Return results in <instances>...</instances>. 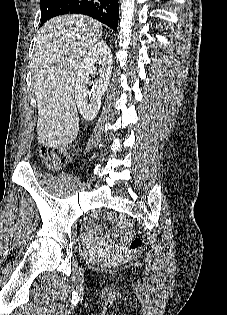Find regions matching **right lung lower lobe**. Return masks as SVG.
<instances>
[{
	"instance_id": "98d812e1",
	"label": "right lung lower lobe",
	"mask_w": 227,
	"mask_h": 315,
	"mask_svg": "<svg viewBox=\"0 0 227 315\" xmlns=\"http://www.w3.org/2000/svg\"><path fill=\"white\" fill-rule=\"evenodd\" d=\"M63 14H84L117 30L119 19L118 0H59L49 13L48 19Z\"/></svg>"
}]
</instances>
